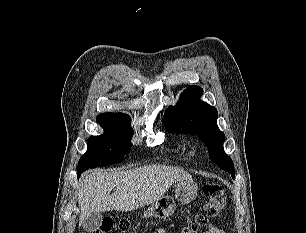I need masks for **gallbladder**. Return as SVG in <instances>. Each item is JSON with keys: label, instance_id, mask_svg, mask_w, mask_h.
Wrapping results in <instances>:
<instances>
[{"label": "gallbladder", "instance_id": "gallbladder-1", "mask_svg": "<svg viewBox=\"0 0 306 233\" xmlns=\"http://www.w3.org/2000/svg\"><path fill=\"white\" fill-rule=\"evenodd\" d=\"M102 220L103 216L100 213H92L84 219L83 228L86 232L91 233L100 227Z\"/></svg>", "mask_w": 306, "mask_h": 233}]
</instances>
